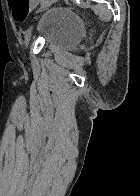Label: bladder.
<instances>
[{"mask_svg":"<svg viewBox=\"0 0 140 196\" xmlns=\"http://www.w3.org/2000/svg\"><path fill=\"white\" fill-rule=\"evenodd\" d=\"M83 33L84 22L80 14L62 6L45 12L37 28V34L47 45L66 51L81 44Z\"/></svg>","mask_w":140,"mask_h":196,"instance_id":"bladder-1","label":"bladder"}]
</instances>
